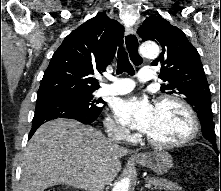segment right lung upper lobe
<instances>
[{
	"label": "right lung upper lobe",
	"mask_w": 221,
	"mask_h": 191,
	"mask_svg": "<svg viewBox=\"0 0 221 191\" xmlns=\"http://www.w3.org/2000/svg\"><path fill=\"white\" fill-rule=\"evenodd\" d=\"M123 26L105 14H97L71 32L53 54L37 95L94 92L93 77L111 63L123 43Z\"/></svg>",
	"instance_id": "obj_1"
}]
</instances>
